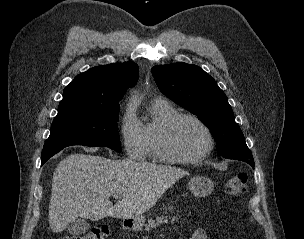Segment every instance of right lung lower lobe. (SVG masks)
<instances>
[{
  "label": "right lung lower lobe",
  "instance_id": "right-lung-lower-lobe-1",
  "mask_svg": "<svg viewBox=\"0 0 304 239\" xmlns=\"http://www.w3.org/2000/svg\"><path fill=\"white\" fill-rule=\"evenodd\" d=\"M63 148H57V149H47L42 151V156H41V166L54 154L58 153L60 150Z\"/></svg>",
  "mask_w": 304,
  "mask_h": 239
}]
</instances>
